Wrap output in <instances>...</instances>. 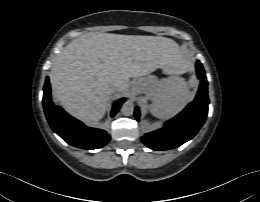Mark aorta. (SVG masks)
<instances>
[{"mask_svg":"<svg viewBox=\"0 0 260 202\" xmlns=\"http://www.w3.org/2000/svg\"><path fill=\"white\" fill-rule=\"evenodd\" d=\"M121 113L130 116L134 113V105L131 102H125L121 107Z\"/></svg>","mask_w":260,"mask_h":202,"instance_id":"762f6f07","label":"aorta"}]
</instances>
